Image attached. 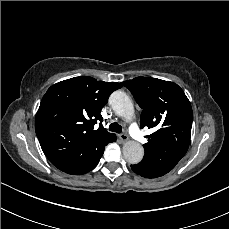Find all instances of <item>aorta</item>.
<instances>
[{
  "mask_svg": "<svg viewBox=\"0 0 229 229\" xmlns=\"http://www.w3.org/2000/svg\"><path fill=\"white\" fill-rule=\"evenodd\" d=\"M109 103L116 114L130 120L134 116V106L130 97L123 91H115L109 98ZM123 156L130 164H138L144 157V148L137 141H128L123 145Z\"/></svg>",
  "mask_w": 229,
  "mask_h": 229,
  "instance_id": "obj_1",
  "label": "aorta"
}]
</instances>
